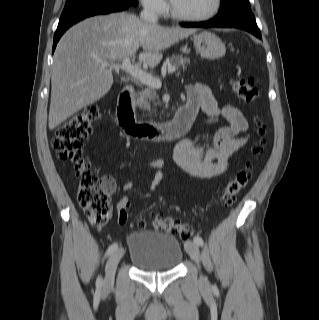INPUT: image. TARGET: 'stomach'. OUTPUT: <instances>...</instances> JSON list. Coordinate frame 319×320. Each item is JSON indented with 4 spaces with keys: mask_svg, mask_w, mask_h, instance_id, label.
<instances>
[{
    "mask_svg": "<svg viewBox=\"0 0 319 320\" xmlns=\"http://www.w3.org/2000/svg\"><path fill=\"white\" fill-rule=\"evenodd\" d=\"M194 46L197 53L210 60L218 59L226 52L222 40L210 31H202L194 35Z\"/></svg>",
    "mask_w": 319,
    "mask_h": 320,
    "instance_id": "obj_1",
    "label": "stomach"
}]
</instances>
